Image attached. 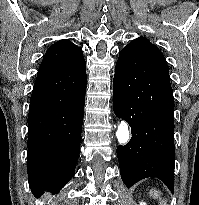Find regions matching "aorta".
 Listing matches in <instances>:
<instances>
[{
	"label": "aorta",
	"instance_id": "obj_1",
	"mask_svg": "<svg viewBox=\"0 0 199 205\" xmlns=\"http://www.w3.org/2000/svg\"><path fill=\"white\" fill-rule=\"evenodd\" d=\"M116 136L119 144L125 145L128 143L130 139V131L126 122L121 121L118 125Z\"/></svg>",
	"mask_w": 199,
	"mask_h": 205
}]
</instances>
